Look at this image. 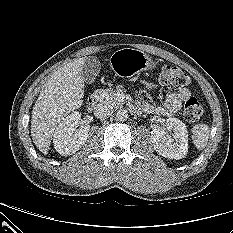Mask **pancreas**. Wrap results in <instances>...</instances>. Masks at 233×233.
<instances>
[{
    "label": "pancreas",
    "mask_w": 233,
    "mask_h": 233,
    "mask_svg": "<svg viewBox=\"0 0 233 233\" xmlns=\"http://www.w3.org/2000/svg\"><path fill=\"white\" fill-rule=\"evenodd\" d=\"M95 94L99 97L101 103L108 104L112 107L123 103V101L118 99L117 93L112 89H99Z\"/></svg>",
    "instance_id": "obj_1"
}]
</instances>
